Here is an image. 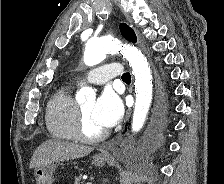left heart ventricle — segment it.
I'll return each mask as SVG.
<instances>
[{
    "label": "left heart ventricle",
    "mask_w": 224,
    "mask_h": 184,
    "mask_svg": "<svg viewBox=\"0 0 224 184\" xmlns=\"http://www.w3.org/2000/svg\"><path fill=\"white\" fill-rule=\"evenodd\" d=\"M93 106L94 101H88L84 104H81L85 120V130L89 135H96L104 131V128H102L92 116Z\"/></svg>",
    "instance_id": "b2bd125f"
}]
</instances>
